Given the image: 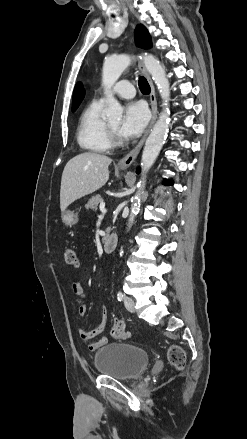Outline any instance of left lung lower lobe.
I'll return each mask as SVG.
<instances>
[{
	"label": "left lung lower lobe",
	"mask_w": 247,
	"mask_h": 439,
	"mask_svg": "<svg viewBox=\"0 0 247 439\" xmlns=\"http://www.w3.org/2000/svg\"><path fill=\"white\" fill-rule=\"evenodd\" d=\"M138 172H139V170H138ZM164 184H165V185H172V184H173V182H172V181H170V180H166V181L164 182Z\"/></svg>",
	"instance_id": "left-lung-lower-lobe-1"
}]
</instances>
